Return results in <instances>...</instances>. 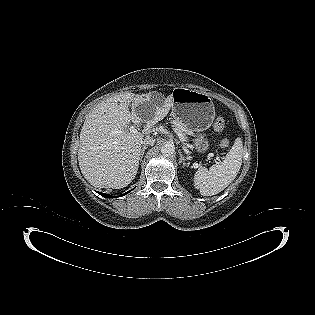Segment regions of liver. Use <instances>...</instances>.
I'll return each instance as SVG.
<instances>
[{
  "instance_id": "6515ba94",
  "label": "liver",
  "mask_w": 315,
  "mask_h": 315,
  "mask_svg": "<svg viewBox=\"0 0 315 315\" xmlns=\"http://www.w3.org/2000/svg\"><path fill=\"white\" fill-rule=\"evenodd\" d=\"M150 99V93L125 92L102 101L87 115L80 133L78 161L82 174L91 185L120 189L135 178L144 135L150 133L172 107V96L169 95L162 105L154 106L142 132H131L130 122L139 124L142 119L134 110L130 112V103L135 108Z\"/></svg>"
}]
</instances>
